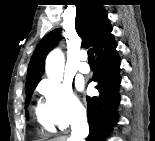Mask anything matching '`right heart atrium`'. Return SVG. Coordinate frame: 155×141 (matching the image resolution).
<instances>
[{
    "mask_svg": "<svg viewBox=\"0 0 155 141\" xmlns=\"http://www.w3.org/2000/svg\"><path fill=\"white\" fill-rule=\"evenodd\" d=\"M39 91L45 99V109L49 118L60 129L83 120L85 109L71 84L58 80H46L39 85Z\"/></svg>",
    "mask_w": 155,
    "mask_h": 141,
    "instance_id": "obj_1",
    "label": "right heart atrium"
}]
</instances>
